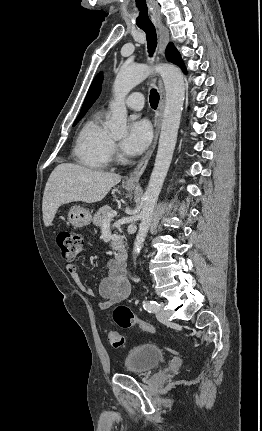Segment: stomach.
Segmentation results:
<instances>
[{"label":"stomach","mask_w":262,"mask_h":431,"mask_svg":"<svg viewBox=\"0 0 262 431\" xmlns=\"http://www.w3.org/2000/svg\"><path fill=\"white\" fill-rule=\"evenodd\" d=\"M128 192H132L134 187H125ZM92 216L88 209L74 205L68 212V221L75 227H84L91 223Z\"/></svg>","instance_id":"0dacf381"}]
</instances>
